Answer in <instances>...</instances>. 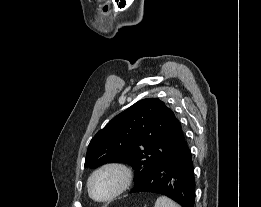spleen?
<instances>
[{
  "instance_id": "obj_1",
  "label": "spleen",
  "mask_w": 261,
  "mask_h": 207,
  "mask_svg": "<svg viewBox=\"0 0 261 207\" xmlns=\"http://www.w3.org/2000/svg\"><path fill=\"white\" fill-rule=\"evenodd\" d=\"M154 207H180V206L175 204V202H173L171 199L165 196H161L157 198Z\"/></svg>"
}]
</instances>
